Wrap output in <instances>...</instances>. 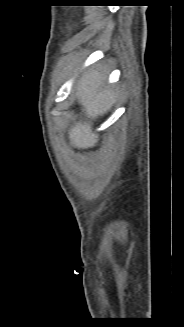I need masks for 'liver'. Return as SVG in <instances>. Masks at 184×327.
Returning a JSON list of instances; mask_svg holds the SVG:
<instances>
[{"instance_id":"liver-1","label":"liver","mask_w":184,"mask_h":327,"mask_svg":"<svg viewBox=\"0 0 184 327\" xmlns=\"http://www.w3.org/2000/svg\"><path fill=\"white\" fill-rule=\"evenodd\" d=\"M104 78L97 71L83 74L78 85V101L88 119H96L107 113L115 102V94L104 86ZM71 144L77 148H91L98 142V135L92 132L90 121L77 122L69 131Z\"/></svg>"}]
</instances>
